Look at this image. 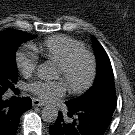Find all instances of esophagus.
<instances>
[{"label": "esophagus", "mask_w": 135, "mask_h": 135, "mask_svg": "<svg viewBox=\"0 0 135 135\" xmlns=\"http://www.w3.org/2000/svg\"><path fill=\"white\" fill-rule=\"evenodd\" d=\"M32 105L41 107V106H45V103L42 102L41 100L35 98L32 100Z\"/></svg>", "instance_id": "1"}]
</instances>
